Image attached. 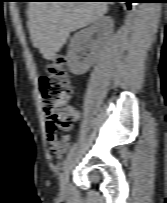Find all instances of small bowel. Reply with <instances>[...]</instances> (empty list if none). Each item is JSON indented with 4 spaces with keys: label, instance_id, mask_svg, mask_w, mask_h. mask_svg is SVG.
Segmentation results:
<instances>
[{
    "label": "small bowel",
    "instance_id": "1",
    "mask_svg": "<svg viewBox=\"0 0 167 203\" xmlns=\"http://www.w3.org/2000/svg\"><path fill=\"white\" fill-rule=\"evenodd\" d=\"M75 114H76L75 120H77L79 118V114L77 111H75ZM50 147H51L52 151L54 152V154L56 155V157L61 158L70 148L69 139L64 138L61 141L56 140V142L53 145L50 144Z\"/></svg>",
    "mask_w": 167,
    "mask_h": 203
}]
</instances>
